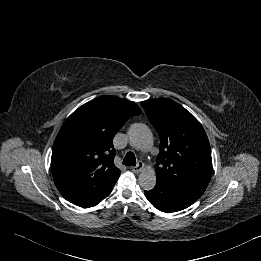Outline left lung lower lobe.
I'll return each instance as SVG.
<instances>
[{"mask_svg": "<svg viewBox=\"0 0 261 261\" xmlns=\"http://www.w3.org/2000/svg\"><path fill=\"white\" fill-rule=\"evenodd\" d=\"M148 201L162 212H176L192 205L202 194L180 186L157 182L150 191H145Z\"/></svg>", "mask_w": 261, "mask_h": 261, "instance_id": "0a47b994", "label": "left lung lower lobe"}]
</instances>
